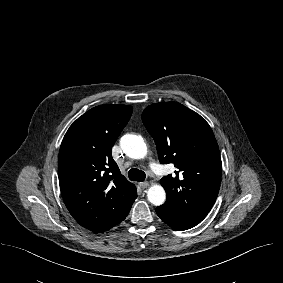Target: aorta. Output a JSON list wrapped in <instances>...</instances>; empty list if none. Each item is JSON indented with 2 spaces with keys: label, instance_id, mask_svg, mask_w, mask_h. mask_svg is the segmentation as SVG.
<instances>
[{
  "label": "aorta",
  "instance_id": "aorta-1",
  "mask_svg": "<svg viewBox=\"0 0 283 283\" xmlns=\"http://www.w3.org/2000/svg\"><path fill=\"white\" fill-rule=\"evenodd\" d=\"M120 146L130 158L143 159L147 155V146L141 136L126 134L121 138ZM147 197L150 203L160 206L166 200V193L161 185L154 184L148 189Z\"/></svg>",
  "mask_w": 283,
  "mask_h": 283
}]
</instances>
